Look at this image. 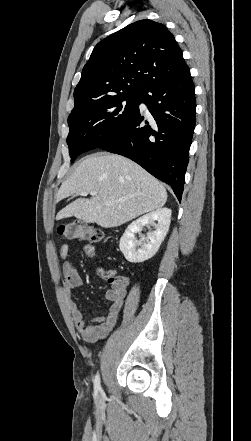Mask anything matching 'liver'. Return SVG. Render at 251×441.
<instances>
[{
    "instance_id": "6515ba94",
    "label": "liver",
    "mask_w": 251,
    "mask_h": 441,
    "mask_svg": "<svg viewBox=\"0 0 251 441\" xmlns=\"http://www.w3.org/2000/svg\"><path fill=\"white\" fill-rule=\"evenodd\" d=\"M82 191L97 195L75 200L57 214L56 220L74 216L112 228L160 209L167 200L162 183L135 162L116 154L86 157L62 183L57 202ZM106 201L112 204L106 205Z\"/></svg>"
}]
</instances>
